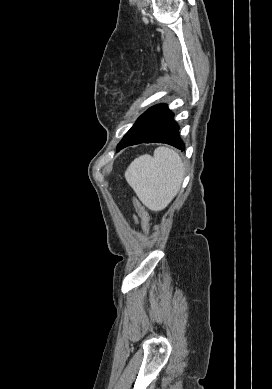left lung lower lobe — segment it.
I'll return each instance as SVG.
<instances>
[{
	"instance_id": "0a47b994",
	"label": "left lung lower lobe",
	"mask_w": 272,
	"mask_h": 389,
	"mask_svg": "<svg viewBox=\"0 0 272 389\" xmlns=\"http://www.w3.org/2000/svg\"><path fill=\"white\" fill-rule=\"evenodd\" d=\"M179 126L165 104H158L144 112L118 144L117 151L139 143H166L180 150L185 146L179 136Z\"/></svg>"
}]
</instances>
